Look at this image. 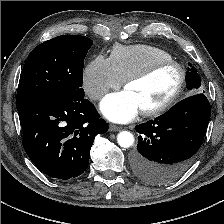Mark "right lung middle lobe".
<instances>
[{"label":"right lung middle lobe","mask_w":224,"mask_h":224,"mask_svg":"<svg viewBox=\"0 0 224 224\" xmlns=\"http://www.w3.org/2000/svg\"><path fill=\"white\" fill-rule=\"evenodd\" d=\"M92 43L85 36L62 35L35 47L21 71L17 110L28 101L44 95L84 98V58Z\"/></svg>","instance_id":"right-lung-middle-lobe-1"}]
</instances>
